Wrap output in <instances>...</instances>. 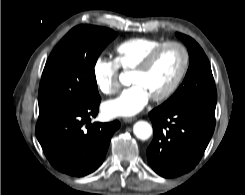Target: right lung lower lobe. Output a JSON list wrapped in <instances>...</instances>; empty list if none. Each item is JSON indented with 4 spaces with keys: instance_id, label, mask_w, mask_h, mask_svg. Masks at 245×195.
Instances as JSON below:
<instances>
[{
    "instance_id": "1",
    "label": "right lung lower lobe",
    "mask_w": 245,
    "mask_h": 195,
    "mask_svg": "<svg viewBox=\"0 0 245 195\" xmlns=\"http://www.w3.org/2000/svg\"><path fill=\"white\" fill-rule=\"evenodd\" d=\"M100 101L39 114L37 139L49 162L60 172L81 177L102 164L120 122L91 125L90 118L96 117Z\"/></svg>"
}]
</instances>
